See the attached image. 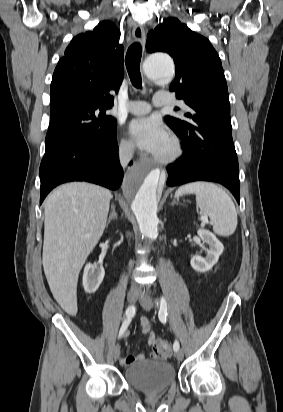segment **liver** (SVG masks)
Listing matches in <instances>:
<instances>
[{
  "label": "liver",
  "mask_w": 283,
  "mask_h": 412,
  "mask_svg": "<svg viewBox=\"0 0 283 412\" xmlns=\"http://www.w3.org/2000/svg\"><path fill=\"white\" fill-rule=\"evenodd\" d=\"M111 198L103 187L72 182L44 201L43 269L53 297L70 315L77 313L78 276L105 230Z\"/></svg>",
  "instance_id": "1"
}]
</instances>
